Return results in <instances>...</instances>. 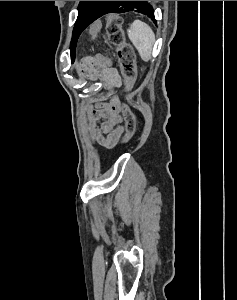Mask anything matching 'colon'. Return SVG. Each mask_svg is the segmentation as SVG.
Listing matches in <instances>:
<instances>
[{
  "instance_id": "colon-1",
  "label": "colon",
  "mask_w": 237,
  "mask_h": 300,
  "mask_svg": "<svg viewBox=\"0 0 237 300\" xmlns=\"http://www.w3.org/2000/svg\"><path fill=\"white\" fill-rule=\"evenodd\" d=\"M101 27V22L95 21L90 28L91 36L96 37ZM105 31L110 43L114 46V52L124 82V94L127 95L131 91L135 80V54L132 46L126 42L122 30V19L118 14L113 13L106 17ZM88 60L91 64L99 67L109 66L110 64L109 57L102 54L90 57ZM120 110L125 122V133L121 139V143L125 144L129 142L134 135L136 121L131 108L126 102H122Z\"/></svg>"
}]
</instances>
